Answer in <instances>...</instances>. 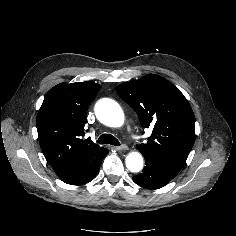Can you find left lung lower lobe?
I'll return each instance as SVG.
<instances>
[{
  "mask_svg": "<svg viewBox=\"0 0 236 236\" xmlns=\"http://www.w3.org/2000/svg\"><path fill=\"white\" fill-rule=\"evenodd\" d=\"M145 164L142 173L133 177V181L147 189H159L174 179L178 172L163 165L156 158L144 155Z\"/></svg>",
  "mask_w": 236,
  "mask_h": 236,
  "instance_id": "0a47b994",
  "label": "left lung lower lobe"
}]
</instances>
